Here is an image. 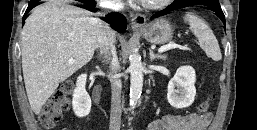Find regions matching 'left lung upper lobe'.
Listing matches in <instances>:
<instances>
[{"mask_svg": "<svg viewBox=\"0 0 257 130\" xmlns=\"http://www.w3.org/2000/svg\"><path fill=\"white\" fill-rule=\"evenodd\" d=\"M187 0H175L173 3H181V2H185Z\"/></svg>", "mask_w": 257, "mask_h": 130, "instance_id": "obj_1", "label": "left lung upper lobe"}]
</instances>
